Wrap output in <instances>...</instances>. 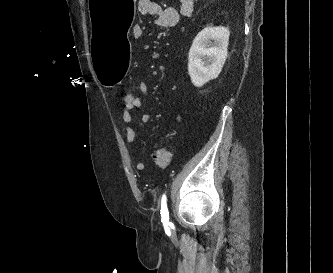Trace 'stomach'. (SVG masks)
<instances>
[{"label": "stomach", "mask_w": 333, "mask_h": 273, "mask_svg": "<svg viewBox=\"0 0 333 273\" xmlns=\"http://www.w3.org/2000/svg\"><path fill=\"white\" fill-rule=\"evenodd\" d=\"M91 31L89 51L93 56V75L103 86L125 81L129 74L131 49L127 38L135 19L136 0H87Z\"/></svg>", "instance_id": "0dacf381"}]
</instances>
